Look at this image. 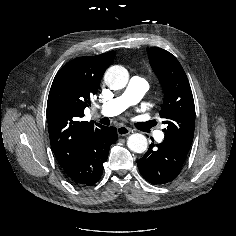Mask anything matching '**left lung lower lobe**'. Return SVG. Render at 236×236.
<instances>
[{
  "mask_svg": "<svg viewBox=\"0 0 236 236\" xmlns=\"http://www.w3.org/2000/svg\"><path fill=\"white\" fill-rule=\"evenodd\" d=\"M151 143L145 155L138 160L137 166L142 176L151 184L161 185L174 180L181 172L186 160L185 154L165 142L157 144L154 151Z\"/></svg>",
  "mask_w": 236,
  "mask_h": 236,
  "instance_id": "0a47b994",
  "label": "left lung lower lobe"
}]
</instances>
